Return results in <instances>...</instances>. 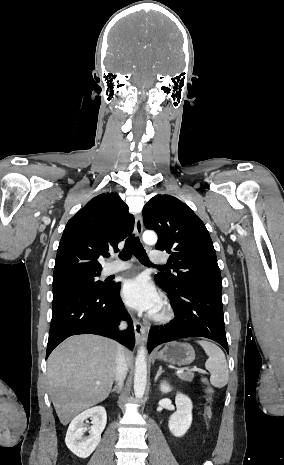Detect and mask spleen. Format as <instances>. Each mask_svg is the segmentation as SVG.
Masks as SVG:
<instances>
[{"instance_id":"obj_1","label":"spleen","mask_w":284,"mask_h":465,"mask_svg":"<svg viewBox=\"0 0 284 465\" xmlns=\"http://www.w3.org/2000/svg\"><path fill=\"white\" fill-rule=\"evenodd\" d=\"M199 345H201L202 349H204L207 357H209L208 361L205 363V369L211 373L210 375V383L213 387H217V389H222L228 383V365L226 361V357L214 343H209V341H197Z\"/></svg>"}]
</instances>
